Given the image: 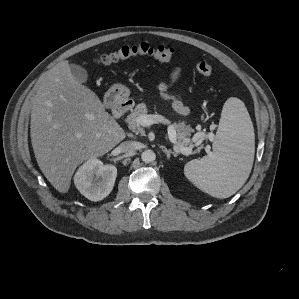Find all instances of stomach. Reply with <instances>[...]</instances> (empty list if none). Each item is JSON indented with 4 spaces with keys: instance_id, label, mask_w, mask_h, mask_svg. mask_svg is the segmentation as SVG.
Listing matches in <instances>:
<instances>
[{
    "instance_id": "0dacf381",
    "label": "stomach",
    "mask_w": 299,
    "mask_h": 299,
    "mask_svg": "<svg viewBox=\"0 0 299 299\" xmlns=\"http://www.w3.org/2000/svg\"><path fill=\"white\" fill-rule=\"evenodd\" d=\"M108 93L114 98L115 102L117 103H123L127 101L130 95L129 89L120 84L113 85L109 89Z\"/></svg>"
}]
</instances>
